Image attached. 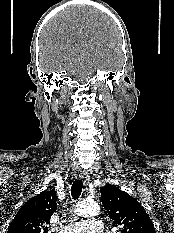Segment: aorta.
<instances>
[{"instance_id": "aorta-1", "label": "aorta", "mask_w": 174, "mask_h": 233, "mask_svg": "<svg viewBox=\"0 0 174 233\" xmlns=\"http://www.w3.org/2000/svg\"><path fill=\"white\" fill-rule=\"evenodd\" d=\"M100 212V208L95 203L80 202L76 205L75 213L83 217H94Z\"/></svg>"}]
</instances>
